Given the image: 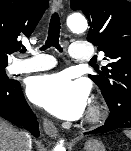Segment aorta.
Here are the masks:
<instances>
[{"label": "aorta", "instance_id": "1", "mask_svg": "<svg viewBox=\"0 0 131 151\" xmlns=\"http://www.w3.org/2000/svg\"><path fill=\"white\" fill-rule=\"evenodd\" d=\"M67 26L72 32L81 33L87 29V21L83 15L74 13L68 16ZM63 142V140H60L55 146L54 151H66Z\"/></svg>", "mask_w": 131, "mask_h": 151}]
</instances>
